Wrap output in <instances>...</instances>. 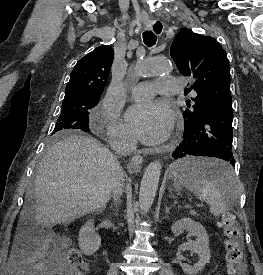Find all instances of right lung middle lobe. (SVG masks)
<instances>
[{
    "instance_id": "right-lung-middle-lobe-1",
    "label": "right lung middle lobe",
    "mask_w": 263,
    "mask_h": 275,
    "mask_svg": "<svg viewBox=\"0 0 263 275\" xmlns=\"http://www.w3.org/2000/svg\"><path fill=\"white\" fill-rule=\"evenodd\" d=\"M100 96L79 95L65 98L55 126L54 139H59L69 129L89 131V110L98 104Z\"/></svg>"
}]
</instances>
